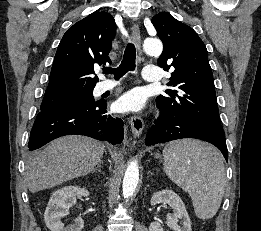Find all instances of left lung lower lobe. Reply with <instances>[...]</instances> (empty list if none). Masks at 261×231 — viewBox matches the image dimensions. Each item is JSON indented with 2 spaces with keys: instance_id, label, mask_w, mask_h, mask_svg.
<instances>
[{
  "instance_id": "left-lung-lower-lobe-1",
  "label": "left lung lower lobe",
  "mask_w": 261,
  "mask_h": 231,
  "mask_svg": "<svg viewBox=\"0 0 261 231\" xmlns=\"http://www.w3.org/2000/svg\"><path fill=\"white\" fill-rule=\"evenodd\" d=\"M154 123L155 125L146 135L145 144L147 146L182 138H197L215 145L228 160L225 137L197 125L182 114L160 109V116Z\"/></svg>"
}]
</instances>
